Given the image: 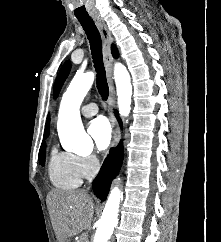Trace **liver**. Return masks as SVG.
<instances>
[{"label": "liver", "mask_w": 221, "mask_h": 242, "mask_svg": "<svg viewBox=\"0 0 221 242\" xmlns=\"http://www.w3.org/2000/svg\"><path fill=\"white\" fill-rule=\"evenodd\" d=\"M47 204L58 242H68L91 225L94 203L87 191L54 190L48 194Z\"/></svg>", "instance_id": "obj_1"}]
</instances>
